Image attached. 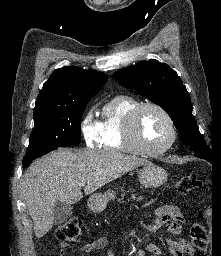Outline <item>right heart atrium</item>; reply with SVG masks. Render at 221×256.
Masks as SVG:
<instances>
[{"label": "right heart atrium", "instance_id": "obj_1", "mask_svg": "<svg viewBox=\"0 0 221 256\" xmlns=\"http://www.w3.org/2000/svg\"><path fill=\"white\" fill-rule=\"evenodd\" d=\"M81 133L87 146L95 147L101 142V123L95 118L93 109L81 121Z\"/></svg>", "mask_w": 221, "mask_h": 256}]
</instances>
